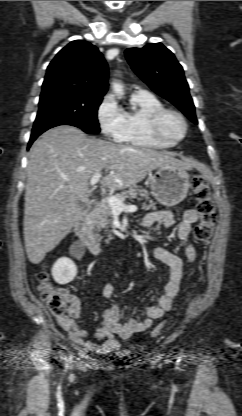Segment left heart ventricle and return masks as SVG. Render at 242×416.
Masks as SVG:
<instances>
[{"mask_svg":"<svg viewBox=\"0 0 242 416\" xmlns=\"http://www.w3.org/2000/svg\"><path fill=\"white\" fill-rule=\"evenodd\" d=\"M161 129L170 138H178L183 132L180 120L174 115H167L161 123Z\"/></svg>","mask_w":242,"mask_h":416,"instance_id":"b2bd125f","label":"left heart ventricle"}]
</instances>
